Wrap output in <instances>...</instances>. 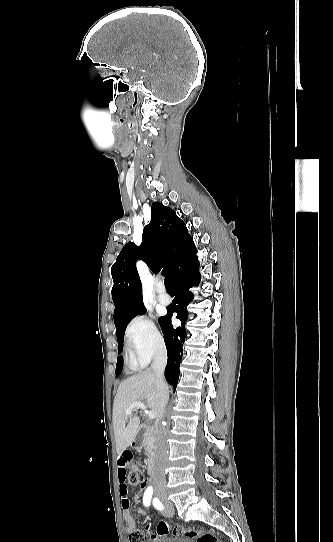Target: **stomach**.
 I'll return each instance as SVG.
<instances>
[{"instance_id": "obj_1", "label": "stomach", "mask_w": 333, "mask_h": 542, "mask_svg": "<svg viewBox=\"0 0 333 542\" xmlns=\"http://www.w3.org/2000/svg\"><path fill=\"white\" fill-rule=\"evenodd\" d=\"M143 440L144 436H141L140 440H138V438H135V440H133L131 444L132 448H142Z\"/></svg>"}]
</instances>
